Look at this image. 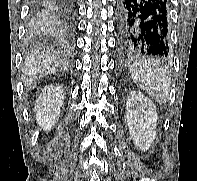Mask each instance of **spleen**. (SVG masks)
<instances>
[{
	"instance_id": "spleen-1",
	"label": "spleen",
	"mask_w": 197,
	"mask_h": 181,
	"mask_svg": "<svg viewBox=\"0 0 197 181\" xmlns=\"http://www.w3.org/2000/svg\"><path fill=\"white\" fill-rule=\"evenodd\" d=\"M133 81L157 102H166L170 92V77L159 60H142L130 68Z\"/></svg>"
}]
</instances>
